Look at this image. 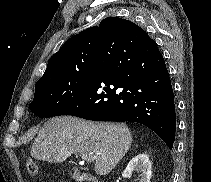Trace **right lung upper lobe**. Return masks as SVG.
I'll return each mask as SVG.
<instances>
[{"mask_svg":"<svg viewBox=\"0 0 211 182\" xmlns=\"http://www.w3.org/2000/svg\"><path fill=\"white\" fill-rule=\"evenodd\" d=\"M117 30H123V33L134 42L150 39L144 30L131 21L117 17L105 18L99 25L90 27L67 40L49 59L46 71L38 82L94 64L99 38L102 34H114Z\"/></svg>","mask_w":211,"mask_h":182,"instance_id":"right-lung-upper-lobe-1","label":"right lung upper lobe"}]
</instances>
